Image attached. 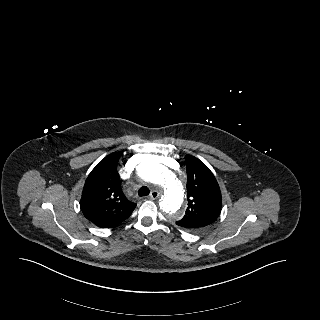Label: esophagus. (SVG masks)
<instances>
[{
  "instance_id": "obj_1",
  "label": "esophagus",
  "mask_w": 320,
  "mask_h": 320,
  "mask_svg": "<svg viewBox=\"0 0 320 320\" xmlns=\"http://www.w3.org/2000/svg\"><path fill=\"white\" fill-rule=\"evenodd\" d=\"M160 196V193L156 190H152L149 195V199L155 200Z\"/></svg>"
}]
</instances>
